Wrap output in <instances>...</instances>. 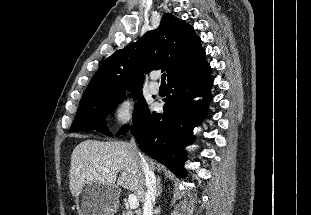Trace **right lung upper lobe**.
Listing matches in <instances>:
<instances>
[{
    "label": "right lung upper lobe",
    "instance_id": "cb5924a9",
    "mask_svg": "<svg viewBox=\"0 0 311 215\" xmlns=\"http://www.w3.org/2000/svg\"><path fill=\"white\" fill-rule=\"evenodd\" d=\"M205 62V50L193 27L172 14H164L157 29L117 50L103 61L80 103L142 89L144 74L165 70L168 82Z\"/></svg>",
    "mask_w": 311,
    "mask_h": 215
}]
</instances>
